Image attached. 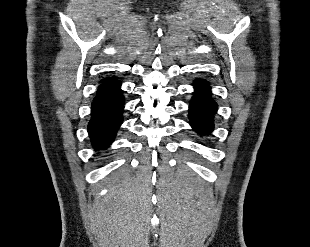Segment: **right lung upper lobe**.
Listing matches in <instances>:
<instances>
[{
	"mask_svg": "<svg viewBox=\"0 0 310 247\" xmlns=\"http://www.w3.org/2000/svg\"><path fill=\"white\" fill-rule=\"evenodd\" d=\"M113 80H114V78H106V79L102 80V82H108V81H113Z\"/></svg>",
	"mask_w": 310,
	"mask_h": 247,
	"instance_id": "1",
	"label": "right lung upper lobe"
}]
</instances>
